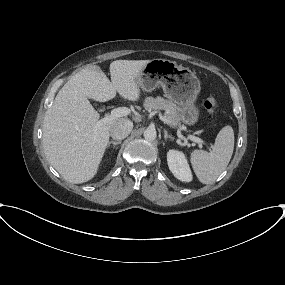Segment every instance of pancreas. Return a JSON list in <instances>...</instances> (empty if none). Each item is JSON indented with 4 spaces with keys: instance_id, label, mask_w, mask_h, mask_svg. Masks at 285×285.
Instances as JSON below:
<instances>
[{
    "instance_id": "cf45deb5",
    "label": "pancreas",
    "mask_w": 285,
    "mask_h": 285,
    "mask_svg": "<svg viewBox=\"0 0 285 285\" xmlns=\"http://www.w3.org/2000/svg\"><path fill=\"white\" fill-rule=\"evenodd\" d=\"M144 107L148 111L164 110V117L173 128H181L179 107L171 100L162 97H147L144 100Z\"/></svg>"
}]
</instances>
